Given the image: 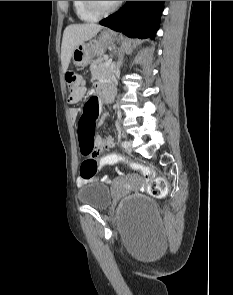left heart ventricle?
<instances>
[{"instance_id":"1","label":"left heart ventricle","mask_w":233,"mask_h":295,"mask_svg":"<svg viewBox=\"0 0 233 295\" xmlns=\"http://www.w3.org/2000/svg\"><path fill=\"white\" fill-rule=\"evenodd\" d=\"M102 9L111 7L116 1H97Z\"/></svg>"}]
</instances>
